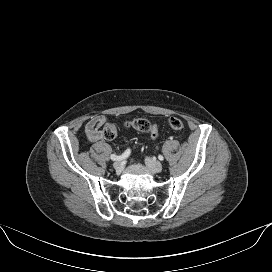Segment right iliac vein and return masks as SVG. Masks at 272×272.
<instances>
[{"label":"right iliac vein","mask_w":272,"mask_h":272,"mask_svg":"<svg viewBox=\"0 0 272 272\" xmlns=\"http://www.w3.org/2000/svg\"><path fill=\"white\" fill-rule=\"evenodd\" d=\"M115 170L120 171L123 168V163L120 160H117L113 163Z\"/></svg>","instance_id":"63e3f726"}]
</instances>
